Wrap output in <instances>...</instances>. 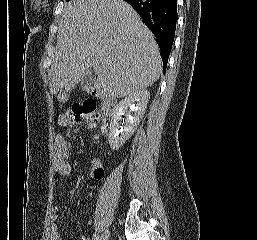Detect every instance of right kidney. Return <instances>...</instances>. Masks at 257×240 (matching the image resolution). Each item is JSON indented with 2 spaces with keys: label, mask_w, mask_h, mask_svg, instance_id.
<instances>
[{
  "label": "right kidney",
  "mask_w": 257,
  "mask_h": 240,
  "mask_svg": "<svg viewBox=\"0 0 257 240\" xmlns=\"http://www.w3.org/2000/svg\"><path fill=\"white\" fill-rule=\"evenodd\" d=\"M149 98L150 92L148 90H137L116 105L108 134L112 149L118 150L135 132L145 113ZM125 113L127 118L124 122V129H119V121L122 120V115Z\"/></svg>",
  "instance_id": "ca27d5eb"
}]
</instances>
